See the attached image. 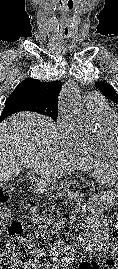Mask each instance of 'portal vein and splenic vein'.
Masks as SVG:
<instances>
[{"instance_id": "18ae733b", "label": "portal vein and splenic vein", "mask_w": 118, "mask_h": 269, "mask_svg": "<svg viewBox=\"0 0 118 269\" xmlns=\"http://www.w3.org/2000/svg\"><path fill=\"white\" fill-rule=\"evenodd\" d=\"M38 172H39V173H42V172H43V170L39 169V170H38ZM47 174H49V172H48V171H47Z\"/></svg>"}]
</instances>
